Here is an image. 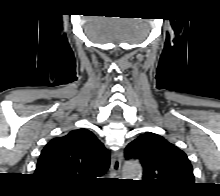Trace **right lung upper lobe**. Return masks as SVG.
<instances>
[{
  "label": "right lung upper lobe",
  "mask_w": 220,
  "mask_h": 196,
  "mask_svg": "<svg viewBox=\"0 0 220 196\" xmlns=\"http://www.w3.org/2000/svg\"><path fill=\"white\" fill-rule=\"evenodd\" d=\"M110 153L87 129L52 139L42 150L35 175L57 186H78L106 173Z\"/></svg>",
  "instance_id": "right-lung-upper-lobe-1"
}]
</instances>
